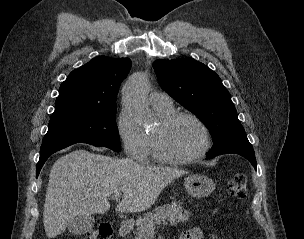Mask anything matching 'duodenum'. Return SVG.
Returning a JSON list of instances; mask_svg holds the SVG:
<instances>
[{
  "label": "duodenum",
  "mask_w": 304,
  "mask_h": 239,
  "mask_svg": "<svg viewBox=\"0 0 304 239\" xmlns=\"http://www.w3.org/2000/svg\"><path fill=\"white\" fill-rule=\"evenodd\" d=\"M133 228V221L132 220H124L121 222L119 226V235L126 236L130 233Z\"/></svg>",
  "instance_id": "1"
}]
</instances>
